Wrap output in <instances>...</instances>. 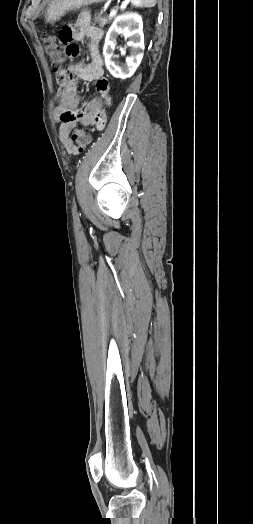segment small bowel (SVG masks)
<instances>
[{
    "label": "small bowel",
    "mask_w": 253,
    "mask_h": 524,
    "mask_svg": "<svg viewBox=\"0 0 253 524\" xmlns=\"http://www.w3.org/2000/svg\"><path fill=\"white\" fill-rule=\"evenodd\" d=\"M89 39L90 63L77 62L56 72L60 86L57 94L55 115L59 121V137L65 149L72 152L71 131L77 126H94L97 130L107 124L106 111L115 103L111 91L110 80L105 78L103 59L100 53V43L103 37L102 29L92 25L89 15H81L73 24H62L58 31L60 44H65L64 54L67 61L72 62L82 56L83 51L78 46V40ZM95 82L97 96H90L80 101L77 93V81Z\"/></svg>",
    "instance_id": "obj_1"
}]
</instances>
